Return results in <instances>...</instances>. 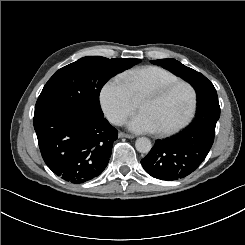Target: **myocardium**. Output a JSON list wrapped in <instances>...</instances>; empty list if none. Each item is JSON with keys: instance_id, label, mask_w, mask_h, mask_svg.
<instances>
[{"instance_id": "obj_1", "label": "myocardium", "mask_w": 245, "mask_h": 245, "mask_svg": "<svg viewBox=\"0 0 245 245\" xmlns=\"http://www.w3.org/2000/svg\"><path fill=\"white\" fill-rule=\"evenodd\" d=\"M182 86L186 87L190 93L191 102H190L189 111L187 115L184 117V119L180 121L177 125L169 129L158 130V134L161 136H170V135H173L179 132L181 129L186 127L189 124V122L192 120V118L194 117L195 111H196V107H197V94H196L194 87L186 81H178V82L171 83L165 86H161L159 84H151L143 89V91L141 92L138 98V100H141L147 96L155 94L157 96V100H162L167 95H169L172 91H174L176 88L182 87Z\"/></svg>"}]
</instances>
